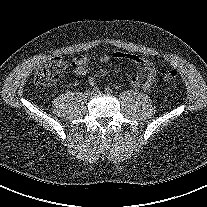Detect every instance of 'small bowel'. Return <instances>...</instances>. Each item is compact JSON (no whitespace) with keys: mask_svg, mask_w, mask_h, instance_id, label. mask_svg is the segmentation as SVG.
Masks as SVG:
<instances>
[{"mask_svg":"<svg viewBox=\"0 0 207 207\" xmlns=\"http://www.w3.org/2000/svg\"><path fill=\"white\" fill-rule=\"evenodd\" d=\"M110 59H128L133 61L140 70V75L131 80V85L134 88H142L144 91H149L156 77L154 65L146 59H142L135 55H129L121 52L113 54H104L100 57V62L105 63ZM74 72L79 76H85L90 70L89 58L85 55L79 56L73 60ZM90 84H94L95 80L92 77L88 78Z\"/></svg>","mask_w":207,"mask_h":207,"instance_id":"1","label":"small bowel"}]
</instances>
